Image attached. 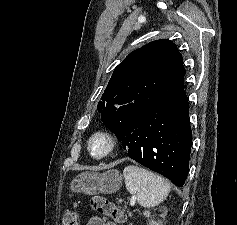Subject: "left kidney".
<instances>
[{
	"label": "left kidney",
	"mask_w": 237,
	"mask_h": 225,
	"mask_svg": "<svg viewBox=\"0 0 237 225\" xmlns=\"http://www.w3.org/2000/svg\"><path fill=\"white\" fill-rule=\"evenodd\" d=\"M161 217H165V214H161ZM149 225H161L159 222L157 223V222H154L153 220L150 222V224Z\"/></svg>",
	"instance_id": "obj_1"
}]
</instances>
